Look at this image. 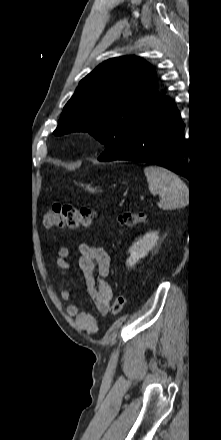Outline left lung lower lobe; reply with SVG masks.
<instances>
[{
    "label": "left lung lower lobe",
    "mask_w": 221,
    "mask_h": 440,
    "mask_svg": "<svg viewBox=\"0 0 221 440\" xmlns=\"http://www.w3.org/2000/svg\"><path fill=\"white\" fill-rule=\"evenodd\" d=\"M185 124L171 98H160L143 114L130 135L128 147L116 160L149 162L190 180L183 150ZM98 160L101 161L100 157Z\"/></svg>",
    "instance_id": "obj_1"
}]
</instances>
